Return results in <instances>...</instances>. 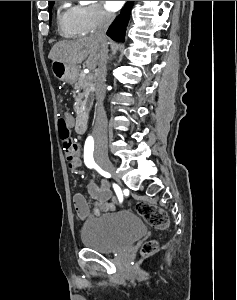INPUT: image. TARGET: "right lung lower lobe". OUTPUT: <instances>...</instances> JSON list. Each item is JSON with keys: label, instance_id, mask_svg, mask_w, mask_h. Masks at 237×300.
Returning a JSON list of instances; mask_svg holds the SVG:
<instances>
[{"label": "right lung lower lobe", "instance_id": "right-lung-lower-lobe-1", "mask_svg": "<svg viewBox=\"0 0 237 300\" xmlns=\"http://www.w3.org/2000/svg\"><path fill=\"white\" fill-rule=\"evenodd\" d=\"M133 6V1H128L121 13L114 20V22L110 25L107 35L111 37L113 40L118 42H123L126 32V27L128 24V20L130 17L131 8Z\"/></svg>", "mask_w": 237, "mask_h": 300}]
</instances>
